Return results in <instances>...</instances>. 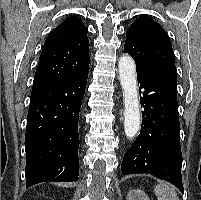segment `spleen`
<instances>
[{
    "label": "spleen",
    "mask_w": 201,
    "mask_h": 200,
    "mask_svg": "<svg viewBox=\"0 0 201 200\" xmlns=\"http://www.w3.org/2000/svg\"><path fill=\"white\" fill-rule=\"evenodd\" d=\"M154 192L158 200H179L175 189L165 183L156 185Z\"/></svg>",
    "instance_id": "3e777b00"
}]
</instances>
